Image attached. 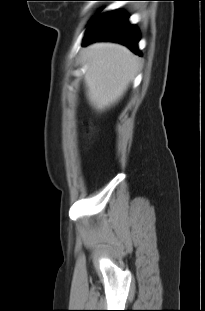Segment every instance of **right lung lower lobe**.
I'll return each mask as SVG.
<instances>
[{"mask_svg":"<svg viewBox=\"0 0 205 311\" xmlns=\"http://www.w3.org/2000/svg\"><path fill=\"white\" fill-rule=\"evenodd\" d=\"M127 20L128 16L119 10L99 16L88 28L82 46L95 41H114L126 45L141 56L137 48L140 33Z\"/></svg>","mask_w":205,"mask_h":311,"instance_id":"98d812e1","label":"right lung lower lobe"}]
</instances>
